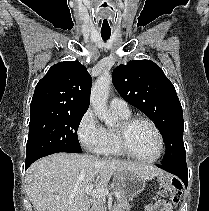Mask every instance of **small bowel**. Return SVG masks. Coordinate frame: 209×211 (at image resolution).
I'll list each match as a JSON object with an SVG mask.
<instances>
[{
	"label": "small bowel",
	"instance_id": "obj_1",
	"mask_svg": "<svg viewBox=\"0 0 209 211\" xmlns=\"http://www.w3.org/2000/svg\"><path fill=\"white\" fill-rule=\"evenodd\" d=\"M145 211H173V208L170 204L162 200H158V201L149 203L146 206Z\"/></svg>",
	"mask_w": 209,
	"mask_h": 211
}]
</instances>
